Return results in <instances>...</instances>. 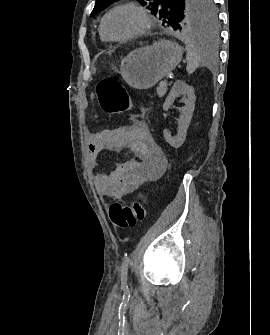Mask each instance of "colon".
Wrapping results in <instances>:
<instances>
[{
  "mask_svg": "<svg viewBox=\"0 0 270 335\" xmlns=\"http://www.w3.org/2000/svg\"><path fill=\"white\" fill-rule=\"evenodd\" d=\"M95 91L104 111L125 112L132 106L129 93L117 78H107L96 86ZM148 205L149 198L144 193H139L130 204L112 201L109 205V218L118 229H127L146 219Z\"/></svg>",
  "mask_w": 270,
  "mask_h": 335,
  "instance_id": "1",
  "label": "colon"
}]
</instances>
